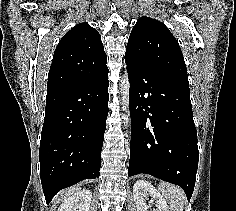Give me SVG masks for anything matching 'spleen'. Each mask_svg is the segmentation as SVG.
I'll return each mask as SVG.
<instances>
[{
  "mask_svg": "<svg viewBox=\"0 0 236 211\" xmlns=\"http://www.w3.org/2000/svg\"><path fill=\"white\" fill-rule=\"evenodd\" d=\"M159 191L166 198L171 211H183L185 202V193L178 187L166 182L158 185Z\"/></svg>",
  "mask_w": 236,
  "mask_h": 211,
  "instance_id": "1",
  "label": "spleen"
}]
</instances>
